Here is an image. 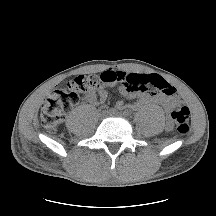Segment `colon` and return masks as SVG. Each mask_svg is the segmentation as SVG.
Masks as SVG:
<instances>
[{"label": "colon", "mask_w": 216, "mask_h": 216, "mask_svg": "<svg viewBox=\"0 0 216 216\" xmlns=\"http://www.w3.org/2000/svg\"><path fill=\"white\" fill-rule=\"evenodd\" d=\"M105 83L96 76L82 75L68 80L44 102L40 114L42 125L49 130H55L63 116L70 112L81 99L91 97ZM156 89L167 96L174 93V88L169 83L159 82ZM170 117L177 132L182 136L186 135L190 118L188 107L183 103L176 104L170 109Z\"/></svg>", "instance_id": "colon-1"}]
</instances>
